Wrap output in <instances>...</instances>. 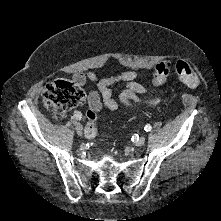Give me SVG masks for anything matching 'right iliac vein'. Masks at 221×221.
<instances>
[{
	"instance_id": "63e3f726",
	"label": "right iliac vein",
	"mask_w": 221,
	"mask_h": 221,
	"mask_svg": "<svg viewBox=\"0 0 221 221\" xmlns=\"http://www.w3.org/2000/svg\"><path fill=\"white\" fill-rule=\"evenodd\" d=\"M76 131H77V134L79 135V136H82V131H83V127H82V125L80 124V123H77L76 124Z\"/></svg>"
}]
</instances>
